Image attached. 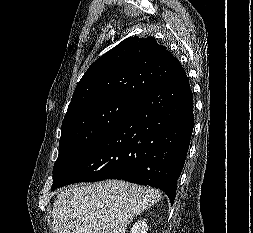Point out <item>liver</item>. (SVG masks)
Returning <instances> with one entry per match:
<instances>
[{"label": "liver", "instance_id": "1", "mask_svg": "<svg viewBox=\"0 0 253 233\" xmlns=\"http://www.w3.org/2000/svg\"><path fill=\"white\" fill-rule=\"evenodd\" d=\"M159 190L119 180L72 186L53 203L55 233H125L134 217L161 200Z\"/></svg>", "mask_w": 253, "mask_h": 233}]
</instances>
